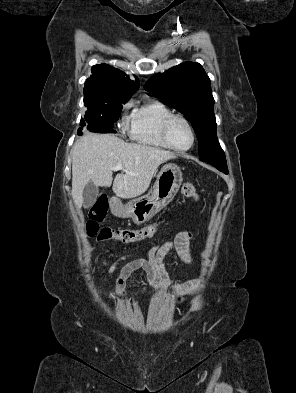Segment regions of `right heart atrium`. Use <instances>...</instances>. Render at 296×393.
<instances>
[{
	"label": "right heart atrium",
	"mask_w": 296,
	"mask_h": 393,
	"mask_svg": "<svg viewBox=\"0 0 296 393\" xmlns=\"http://www.w3.org/2000/svg\"><path fill=\"white\" fill-rule=\"evenodd\" d=\"M128 107H129V104L124 105L123 111H126L128 109Z\"/></svg>",
	"instance_id": "right-heart-atrium-1"
}]
</instances>
